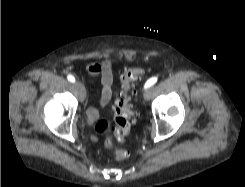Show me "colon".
Instances as JSON below:
<instances>
[{
  "label": "colon",
  "mask_w": 245,
  "mask_h": 187,
  "mask_svg": "<svg viewBox=\"0 0 245 187\" xmlns=\"http://www.w3.org/2000/svg\"><path fill=\"white\" fill-rule=\"evenodd\" d=\"M145 76V70L137 67L126 68L121 74V84L116 99L112 104L113 117L99 118L94 124L97 135L106 137V146L113 148L112 136L124 140L131 131V125L136 119V112L132 108L131 96L133 84ZM115 158L124 159L127 152L113 148Z\"/></svg>",
  "instance_id": "5ec220e1"
}]
</instances>
